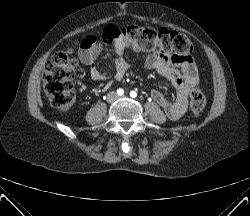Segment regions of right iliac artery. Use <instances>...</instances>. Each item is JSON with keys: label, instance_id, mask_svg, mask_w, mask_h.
<instances>
[{"label": "right iliac artery", "instance_id": "obj_1", "mask_svg": "<svg viewBox=\"0 0 250 216\" xmlns=\"http://www.w3.org/2000/svg\"><path fill=\"white\" fill-rule=\"evenodd\" d=\"M117 94L120 95V96H122V95L124 94V90L121 89V88H119V89L117 90Z\"/></svg>", "mask_w": 250, "mask_h": 216}]
</instances>
